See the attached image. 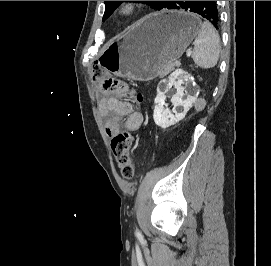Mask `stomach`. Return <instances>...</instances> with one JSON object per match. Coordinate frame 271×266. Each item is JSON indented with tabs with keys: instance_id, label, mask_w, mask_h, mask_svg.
<instances>
[{
	"instance_id": "0dacf381",
	"label": "stomach",
	"mask_w": 271,
	"mask_h": 266,
	"mask_svg": "<svg viewBox=\"0 0 271 266\" xmlns=\"http://www.w3.org/2000/svg\"><path fill=\"white\" fill-rule=\"evenodd\" d=\"M197 16L186 11L149 15L110 41L99 64L127 79L150 81L182 56L199 31Z\"/></svg>"
}]
</instances>
